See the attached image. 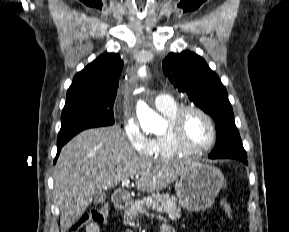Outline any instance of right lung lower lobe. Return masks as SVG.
<instances>
[{
  "label": "right lung lower lobe",
  "instance_id": "98d812e1",
  "mask_svg": "<svg viewBox=\"0 0 289 232\" xmlns=\"http://www.w3.org/2000/svg\"><path fill=\"white\" fill-rule=\"evenodd\" d=\"M61 148H62V146H57L58 153H57V156H56V158H55V160H54V163H55L56 160H57V157H58V155H59V152H60Z\"/></svg>",
  "mask_w": 289,
  "mask_h": 232
}]
</instances>
